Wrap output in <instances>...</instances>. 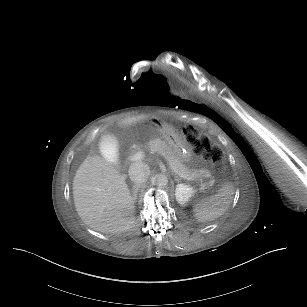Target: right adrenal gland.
Segmentation results:
<instances>
[{"label":"right adrenal gland","mask_w":307,"mask_h":307,"mask_svg":"<svg viewBox=\"0 0 307 307\" xmlns=\"http://www.w3.org/2000/svg\"><path fill=\"white\" fill-rule=\"evenodd\" d=\"M136 197H137V192H134L133 196L131 198H132V200H134Z\"/></svg>","instance_id":"2a0ac1e0"}]
</instances>
